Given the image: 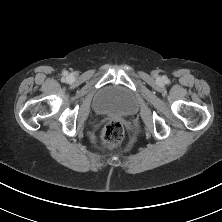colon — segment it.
Masks as SVG:
<instances>
[{
    "label": "colon",
    "instance_id": "1",
    "mask_svg": "<svg viewBox=\"0 0 222 222\" xmlns=\"http://www.w3.org/2000/svg\"><path fill=\"white\" fill-rule=\"evenodd\" d=\"M125 130L122 122L117 119L108 121L103 129L102 143L106 147H115L124 139Z\"/></svg>",
    "mask_w": 222,
    "mask_h": 222
}]
</instances>
